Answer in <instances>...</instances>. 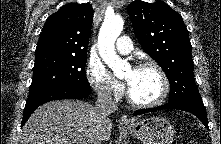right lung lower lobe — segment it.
Segmentation results:
<instances>
[{
	"label": "right lung lower lobe",
	"mask_w": 221,
	"mask_h": 144,
	"mask_svg": "<svg viewBox=\"0 0 221 144\" xmlns=\"http://www.w3.org/2000/svg\"><path fill=\"white\" fill-rule=\"evenodd\" d=\"M90 93H91L90 88L68 87V86L57 87L47 92H44L37 98L29 102H26L21 126L25 124V122L28 120L30 115L37 107H39L40 105L46 102L53 100H60V99H82L89 96Z\"/></svg>",
	"instance_id": "obj_1"
}]
</instances>
